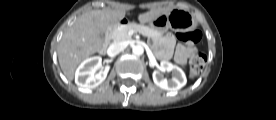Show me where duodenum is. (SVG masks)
<instances>
[{
  "label": "duodenum",
  "mask_w": 276,
  "mask_h": 120,
  "mask_svg": "<svg viewBox=\"0 0 276 120\" xmlns=\"http://www.w3.org/2000/svg\"><path fill=\"white\" fill-rule=\"evenodd\" d=\"M126 23H127V20L123 18V19L117 21L116 23H114L113 25H111L107 29V31L105 32V35H104V45L102 47V52H106V49L113 38V34H114L115 30L121 26H124Z\"/></svg>",
  "instance_id": "obj_1"
}]
</instances>
